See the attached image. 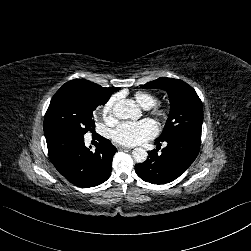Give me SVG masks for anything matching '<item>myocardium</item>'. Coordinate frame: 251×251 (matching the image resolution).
Listing matches in <instances>:
<instances>
[{
  "mask_svg": "<svg viewBox=\"0 0 251 251\" xmlns=\"http://www.w3.org/2000/svg\"><path fill=\"white\" fill-rule=\"evenodd\" d=\"M151 114L162 122H167L171 118V110L167 106H157L151 111Z\"/></svg>",
  "mask_w": 251,
  "mask_h": 251,
  "instance_id": "myocardium-1",
  "label": "myocardium"
}]
</instances>
